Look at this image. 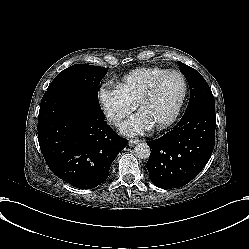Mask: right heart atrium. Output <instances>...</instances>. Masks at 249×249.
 <instances>
[{"label": "right heart atrium", "instance_id": "right-heart-atrium-1", "mask_svg": "<svg viewBox=\"0 0 249 249\" xmlns=\"http://www.w3.org/2000/svg\"><path fill=\"white\" fill-rule=\"evenodd\" d=\"M101 100L108 118L121 119L131 112V105L118 93L102 91Z\"/></svg>", "mask_w": 249, "mask_h": 249}]
</instances>
